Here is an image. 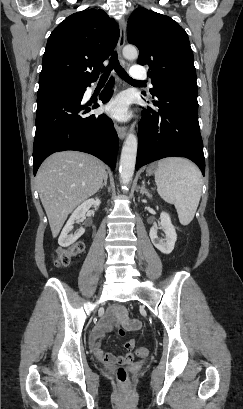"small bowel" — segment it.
Instances as JSON below:
<instances>
[{
  "label": "small bowel",
  "instance_id": "1",
  "mask_svg": "<svg viewBox=\"0 0 243 409\" xmlns=\"http://www.w3.org/2000/svg\"><path fill=\"white\" fill-rule=\"evenodd\" d=\"M121 327L131 331L137 330L140 327V322L138 320H129L125 307L121 304H115L104 313L98 326L92 331L88 339L89 348L99 361L110 365L116 361L129 363L133 359V350L135 347V341L133 339L124 342V348L127 352L121 357H115L106 353L101 348V339L103 336Z\"/></svg>",
  "mask_w": 243,
  "mask_h": 409
}]
</instances>
